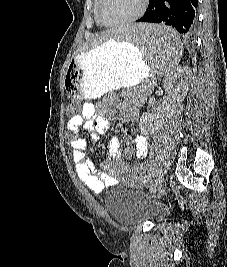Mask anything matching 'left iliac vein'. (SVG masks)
I'll use <instances>...</instances> for the list:
<instances>
[{
  "label": "left iliac vein",
  "instance_id": "obj_1",
  "mask_svg": "<svg viewBox=\"0 0 227 267\" xmlns=\"http://www.w3.org/2000/svg\"><path fill=\"white\" fill-rule=\"evenodd\" d=\"M164 179H165L164 176L161 175L153 182V184L150 187L151 194L157 193L162 188Z\"/></svg>",
  "mask_w": 227,
  "mask_h": 267
}]
</instances>
